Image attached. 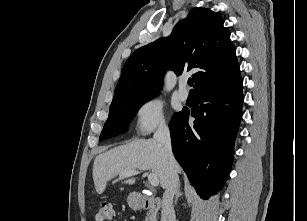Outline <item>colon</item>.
I'll return each mask as SVG.
<instances>
[{
	"instance_id": "colon-1",
	"label": "colon",
	"mask_w": 307,
	"mask_h": 221,
	"mask_svg": "<svg viewBox=\"0 0 307 221\" xmlns=\"http://www.w3.org/2000/svg\"><path fill=\"white\" fill-rule=\"evenodd\" d=\"M114 218V212L112 205L108 202H103L95 215L96 221H112Z\"/></svg>"
}]
</instances>
